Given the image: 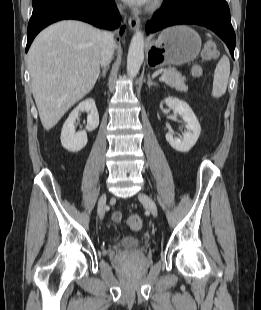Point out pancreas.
Returning <instances> with one entry per match:
<instances>
[{"label": "pancreas", "instance_id": "pancreas-1", "mask_svg": "<svg viewBox=\"0 0 261 310\" xmlns=\"http://www.w3.org/2000/svg\"><path fill=\"white\" fill-rule=\"evenodd\" d=\"M166 76L165 83L175 88L177 91L187 92L188 86L185 85V77L182 76L176 69L168 68L162 72Z\"/></svg>", "mask_w": 261, "mask_h": 310}]
</instances>
